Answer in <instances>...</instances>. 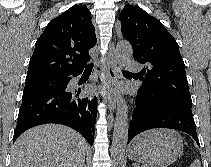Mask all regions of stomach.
I'll list each match as a JSON object with an SVG mask.
<instances>
[{"instance_id":"obj_1","label":"stomach","mask_w":211,"mask_h":167,"mask_svg":"<svg viewBox=\"0 0 211 167\" xmlns=\"http://www.w3.org/2000/svg\"><path fill=\"white\" fill-rule=\"evenodd\" d=\"M183 152V139L174 130L153 129L136 137L129 146L131 160L143 167H167Z\"/></svg>"}]
</instances>
